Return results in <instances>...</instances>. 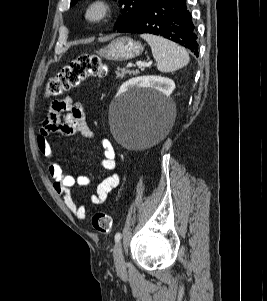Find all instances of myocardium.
<instances>
[{"label": "myocardium", "mask_w": 267, "mask_h": 301, "mask_svg": "<svg viewBox=\"0 0 267 301\" xmlns=\"http://www.w3.org/2000/svg\"><path fill=\"white\" fill-rule=\"evenodd\" d=\"M113 7L108 0H92L85 9V20L91 25L105 22L112 15Z\"/></svg>", "instance_id": "f54148a6"}]
</instances>
